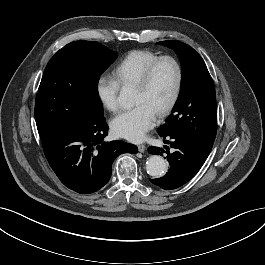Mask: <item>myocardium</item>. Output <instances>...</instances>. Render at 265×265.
Instances as JSON below:
<instances>
[{
  "label": "myocardium",
  "mask_w": 265,
  "mask_h": 265,
  "mask_svg": "<svg viewBox=\"0 0 265 265\" xmlns=\"http://www.w3.org/2000/svg\"><path fill=\"white\" fill-rule=\"evenodd\" d=\"M163 61H170L173 63L176 69V84L174 88V92L172 94L171 99L169 102L157 113L159 118H163L169 115L172 110L177 105L181 91L183 86V69L181 63L175 57L171 55H163L157 57L154 61H152L143 71L142 75L140 76L139 80L135 84V88L139 90H146L151 82L152 75L156 69V67Z\"/></svg>",
  "instance_id": "myocardium-1"
}]
</instances>
